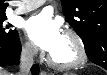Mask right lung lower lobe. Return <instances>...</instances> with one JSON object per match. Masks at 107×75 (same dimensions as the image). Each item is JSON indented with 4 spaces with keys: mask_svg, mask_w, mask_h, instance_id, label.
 I'll use <instances>...</instances> for the list:
<instances>
[{
    "mask_svg": "<svg viewBox=\"0 0 107 75\" xmlns=\"http://www.w3.org/2000/svg\"><path fill=\"white\" fill-rule=\"evenodd\" d=\"M20 52L21 43L18 35L9 42L0 43V66L13 65L18 63ZM32 73L33 75H38V65H34L32 67Z\"/></svg>",
    "mask_w": 107,
    "mask_h": 75,
    "instance_id": "right-lung-lower-lobe-1",
    "label": "right lung lower lobe"
}]
</instances>
